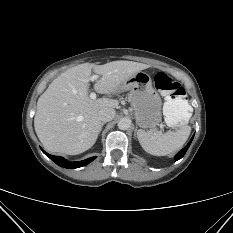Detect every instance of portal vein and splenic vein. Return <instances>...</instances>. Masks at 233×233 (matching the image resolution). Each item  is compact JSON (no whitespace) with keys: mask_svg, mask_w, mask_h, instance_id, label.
Returning <instances> with one entry per match:
<instances>
[{"mask_svg":"<svg viewBox=\"0 0 233 233\" xmlns=\"http://www.w3.org/2000/svg\"><path fill=\"white\" fill-rule=\"evenodd\" d=\"M97 78H99L98 75H93V76H91L90 80L93 82V81H95ZM89 96H90V98L93 99V100L96 99V93H95V92H91Z\"/></svg>","mask_w":233,"mask_h":233,"instance_id":"1","label":"portal vein and splenic vein"}]
</instances>
